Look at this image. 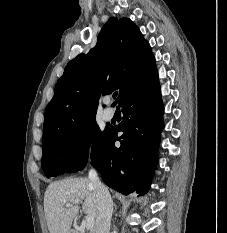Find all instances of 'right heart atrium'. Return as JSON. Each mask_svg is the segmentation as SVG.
<instances>
[{
	"mask_svg": "<svg viewBox=\"0 0 227 233\" xmlns=\"http://www.w3.org/2000/svg\"><path fill=\"white\" fill-rule=\"evenodd\" d=\"M88 152V148L85 145H81L77 150V157L83 158Z\"/></svg>",
	"mask_w": 227,
	"mask_h": 233,
	"instance_id": "right-heart-atrium-1",
	"label": "right heart atrium"
}]
</instances>
